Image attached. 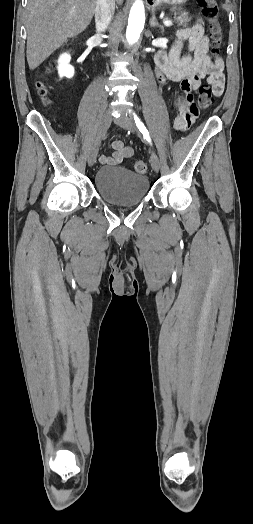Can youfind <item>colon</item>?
<instances>
[{
    "label": "colon",
    "mask_w": 253,
    "mask_h": 524,
    "mask_svg": "<svg viewBox=\"0 0 253 524\" xmlns=\"http://www.w3.org/2000/svg\"><path fill=\"white\" fill-rule=\"evenodd\" d=\"M201 13L208 22L210 36H211V55L216 57L220 54L223 45V33L218 18V6L216 0H198ZM55 61H51L54 64ZM38 94L46 100L47 87L41 81L36 83ZM198 104L202 107H207L213 98V90L208 86H202L196 93ZM135 170L138 173H145L147 171V164L143 161H138L135 164Z\"/></svg>",
    "instance_id": "obj_1"
}]
</instances>
